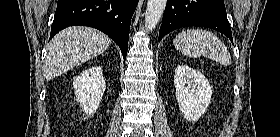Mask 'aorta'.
I'll return each mask as SVG.
<instances>
[{
    "label": "aorta",
    "instance_id": "762f6f07",
    "mask_svg": "<svg viewBox=\"0 0 280 137\" xmlns=\"http://www.w3.org/2000/svg\"><path fill=\"white\" fill-rule=\"evenodd\" d=\"M167 0H148L145 13V30L152 31L159 23Z\"/></svg>",
    "mask_w": 280,
    "mask_h": 137
}]
</instances>
